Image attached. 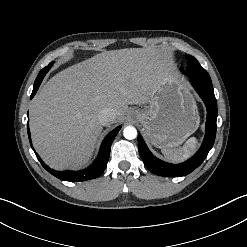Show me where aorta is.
Instances as JSON below:
<instances>
[{
  "label": "aorta",
  "instance_id": "762f6f07",
  "mask_svg": "<svg viewBox=\"0 0 247 247\" xmlns=\"http://www.w3.org/2000/svg\"><path fill=\"white\" fill-rule=\"evenodd\" d=\"M123 135L128 140L135 139L137 136V130L133 126H127L123 130Z\"/></svg>",
  "mask_w": 247,
  "mask_h": 247
}]
</instances>
